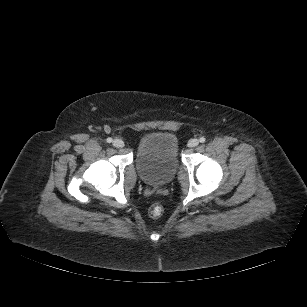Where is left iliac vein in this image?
I'll return each instance as SVG.
<instances>
[{"label": "left iliac vein", "mask_w": 307, "mask_h": 307, "mask_svg": "<svg viewBox=\"0 0 307 307\" xmlns=\"http://www.w3.org/2000/svg\"><path fill=\"white\" fill-rule=\"evenodd\" d=\"M198 144H199L198 140L194 138L188 141V146L191 148L196 147Z\"/></svg>", "instance_id": "left-iliac-vein-1"}]
</instances>
